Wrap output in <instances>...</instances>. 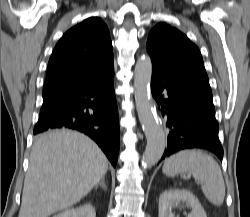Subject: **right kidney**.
I'll use <instances>...</instances> for the list:
<instances>
[{
	"label": "right kidney",
	"mask_w": 250,
	"mask_h": 217,
	"mask_svg": "<svg viewBox=\"0 0 250 217\" xmlns=\"http://www.w3.org/2000/svg\"><path fill=\"white\" fill-rule=\"evenodd\" d=\"M53 217H96V212L90 204H84L77 208L67 209Z\"/></svg>",
	"instance_id": "ca27d5eb"
}]
</instances>
